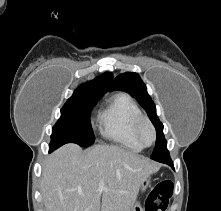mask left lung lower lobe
I'll return each mask as SVG.
<instances>
[{
  "instance_id": "obj_1",
  "label": "left lung lower lobe",
  "mask_w": 221,
  "mask_h": 211,
  "mask_svg": "<svg viewBox=\"0 0 221 211\" xmlns=\"http://www.w3.org/2000/svg\"><path fill=\"white\" fill-rule=\"evenodd\" d=\"M161 163H166V164L170 165L171 167H173V162H172L171 158L163 159V160H161Z\"/></svg>"
}]
</instances>
